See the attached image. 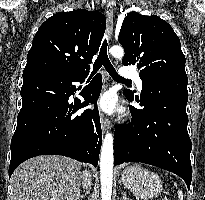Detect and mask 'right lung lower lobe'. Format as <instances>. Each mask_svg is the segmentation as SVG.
Listing matches in <instances>:
<instances>
[{
  "label": "right lung lower lobe",
  "instance_id": "obj_1",
  "mask_svg": "<svg viewBox=\"0 0 205 200\" xmlns=\"http://www.w3.org/2000/svg\"><path fill=\"white\" fill-rule=\"evenodd\" d=\"M87 74L68 75L56 71L23 73L22 108L11 140L9 176L25 160L38 155H63L97 166L102 143L96 101L101 91L98 74L82 91L85 99L69 98L76 92L73 82ZM94 103L93 110H77Z\"/></svg>",
  "mask_w": 205,
  "mask_h": 200
}]
</instances>
